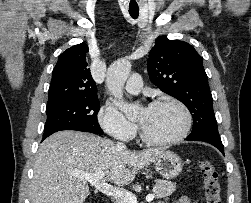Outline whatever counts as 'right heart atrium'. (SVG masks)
Returning a JSON list of instances; mask_svg holds the SVG:
<instances>
[{
  "mask_svg": "<svg viewBox=\"0 0 251 203\" xmlns=\"http://www.w3.org/2000/svg\"><path fill=\"white\" fill-rule=\"evenodd\" d=\"M98 122L109 136L117 140L129 141L136 133V126L110 104L100 108Z\"/></svg>",
  "mask_w": 251,
  "mask_h": 203,
  "instance_id": "right-heart-atrium-1",
  "label": "right heart atrium"
}]
</instances>
